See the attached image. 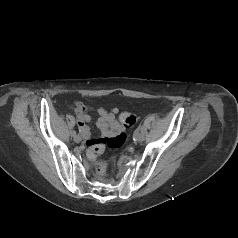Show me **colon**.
I'll list each match as a JSON object with an SVG mask.
<instances>
[{
	"instance_id": "1",
	"label": "colon",
	"mask_w": 238,
	"mask_h": 238,
	"mask_svg": "<svg viewBox=\"0 0 238 238\" xmlns=\"http://www.w3.org/2000/svg\"><path fill=\"white\" fill-rule=\"evenodd\" d=\"M118 121L123 126L130 127L135 124L136 116L128 113L127 111H122L118 115ZM125 134H126V131L122 130L121 135L114 138L103 140L99 142L97 145L90 148V150L88 151L89 159L96 161L97 157L104 151L106 145L111 148L120 147L125 141ZM106 169H107V163L105 161H102V160L96 161V172L98 174H103L106 171Z\"/></svg>"
}]
</instances>
